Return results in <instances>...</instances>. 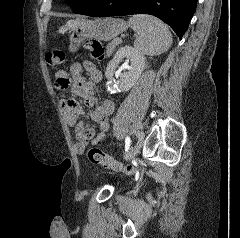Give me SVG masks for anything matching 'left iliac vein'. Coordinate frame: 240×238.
<instances>
[{"instance_id": "1", "label": "left iliac vein", "mask_w": 240, "mask_h": 238, "mask_svg": "<svg viewBox=\"0 0 240 238\" xmlns=\"http://www.w3.org/2000/svg\"><path fill=\"white\" fill-rule=\"evenodd\" d=\"M141 145L140 146H137L135 150H132L128 155H125L124 156V159L125 160H131L133 159L136 154L138 153L139 149H140Z\"/></svg>"}]
</instances>
